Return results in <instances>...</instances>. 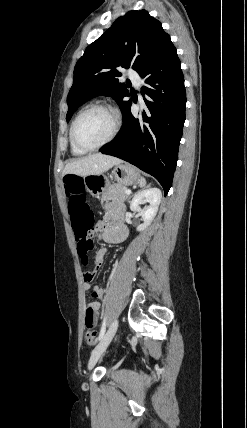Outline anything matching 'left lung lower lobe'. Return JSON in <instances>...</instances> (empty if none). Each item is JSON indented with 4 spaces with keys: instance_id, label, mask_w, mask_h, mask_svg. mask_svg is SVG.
I'll return each mask as SVG.
<instances>
[{
    "instance_id": "1",
    "label": "left lung lower lobe",
    "mask_w": 247,
    "mask_h": 428,
    "mask_svg": "<svg viewBox=\"0 0 247 428\" xmlns=\"http://www.w3.org/2000/svg\"><path fill=\"white\" fill-rule=\"evenodd\" d=\"M176 48L163 53L141 73L146 94L139 118L124 107L119 136L100 152L123 159L154 176L168 193L185 121L186 93Z\"/></svg>"
}]
</instances>
